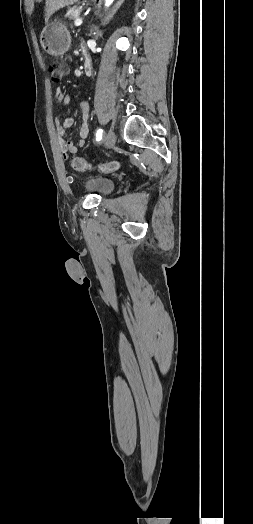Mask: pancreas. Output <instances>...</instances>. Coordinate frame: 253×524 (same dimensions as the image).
Listing matches in <instances>:
<instances>
[{
  "label": "pancreas",
  "instance_id": "cf45deb5",
  "mask_svg": "<svg viewBox=\"0 0 253 524\" xmlns=\"http://www.w3.org/2000/svg\"><path fill=\"white\" fill-rule=\"evenodd\" d=\"M81 11H82V7L75 5L68 9L66 13V17L69 18L70 20H75L79 17Z\"/></svg>",
  "mask_w": 253,
  "mask_h": 524
}]
</instances>
